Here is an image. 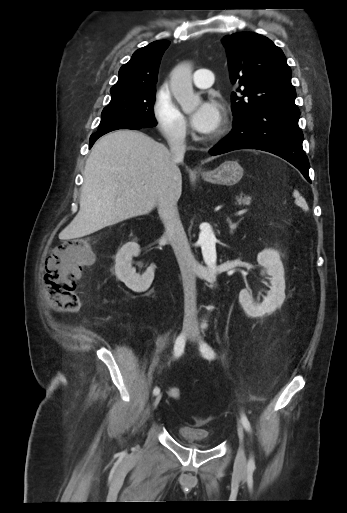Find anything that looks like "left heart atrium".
Segmentation results:
<instances>
[{
	"mask_svg": "<svg viewBox=\"0 0 347 513\" xmlns=\"http://www.w3.org/2000/svg\"><path fill=\"white\" fill-rule=\"evenodd\" d=\"M222 110L219 104L212 100L202 101L191 116V125L199 133L212 134L222 122Z\"/></svg>",
	"mask_w": 347,
	"mask_h": 513,
	"instance_id": "1",
	"label": "left heart atrium"
}]
</instances>
